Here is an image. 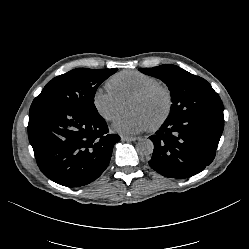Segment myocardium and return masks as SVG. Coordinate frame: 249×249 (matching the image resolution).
I'll use <instances>...</instances> for the list:
<instances>
[{
    "instance_id": "f54148a6",
    "label": "myocardium",
    "mask_w": 249,
    "mask_h": 249,
    "mask_svg": "<svg viewBox=\"0 0 249 249\" xmlns=\"http://www.w3.org/2000/svg\"><path fill=\"white\" fill-rule=\"evenodd\" d=\"M157 93H160L165 100V110L162 116L154 124L149 126L150 131H157L160 129L168 121L172 114L174 100L170 89L167 86L158 83L143 89L130 98V100H145Z\"/></svg>"
}]
</instances>
